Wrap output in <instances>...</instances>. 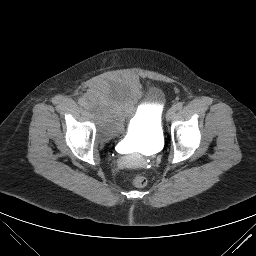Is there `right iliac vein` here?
<instances>
[{"instance_id":"obj_1","label":"right iliac vein","mask_w":256,"mask_h":256,"mask_svg":"<svg viewBox=\"0 0 256 256\" xmlns=\"http://www.w3.org/2000/svg\"><path fill=\"white\" fill-rule=\"evenodd\" d=\"M84 108H85L86 111H89L90 108H91V105H90L89 103H86V104L84 105Z\"/></svg>"}]
</instances>
